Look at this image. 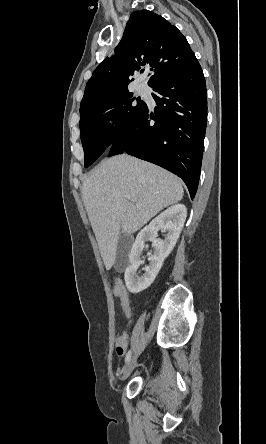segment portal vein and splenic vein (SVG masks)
I'll return each instance as SVG.
<instances>
[{
  "label": "portal vein and splenic vein",
  "instance_id": "obj_1",
  "mask_svg": "<svg viewBox=\"0 0 266 444\" xmlns=\"http://www.w3.org/2000/svg\"><path fill=\"white\" fill-rule=\"evenodd\" d=\"M126 198H127L128 200H130V199H131V196L128 195V196H126Z\"/></svg>",
  "mask_w": 266,
  "mask_h": 444
}]
</instances>
